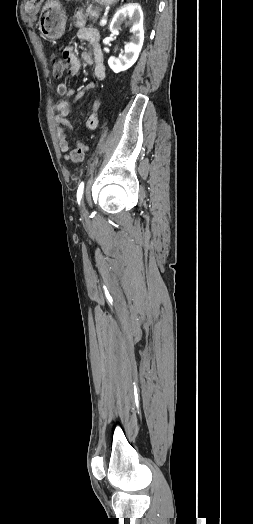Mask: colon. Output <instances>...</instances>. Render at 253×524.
<instances>
[{
	"label": "colon",
	"instance_id": "5ec220e1",
	"mask_svg": "<svg viewBox=\"0 0 253 524\" xmlns=\"http://www.w3.org/2000/svg\"><path fill=\"white\" fill-rule=\"evenodd\" d=\"M53 76L60 78L64 71L65 64L59 55H53L50 58ZM87 152V146L83 142H77L68 152L67 159L74 164L80 163L84 160Z\"/></svg>",
	"mask_w": 253,
	"mask_h": 524
}]
</instances>
